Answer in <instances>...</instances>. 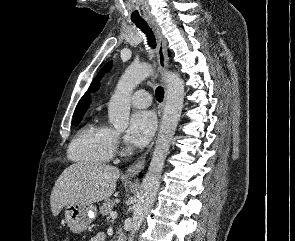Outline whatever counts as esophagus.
I'll return each mask as SVG.
<instances>
[{"mask_svg":"<svg viewBox=\"0 0 295 241\" xmlns=\"http://www.w3.org/2000/svg\"><path fill=\"white\" fill-rule=\"evenodd\" d=\"M148 22L154 31L156 42H157V58H158L159 67L161 71L165 73L166 70L169 68V58L167 54L166 40L163 37L161 30L158 24L155 22V20L149 19ZM166 94H167V91L165 90V98H166ZM164 104H165V99L163 103L160 105L159 117H161L162 115ZM152 146H153V143H151L148 149L134 163H132L127 168V170L125 171L123 175L125 178H133L142 171V169L145 166L148 153L150 149L152 148Z\"/></svg>","mask_w":295,"mask_h":241,"instance_id":"obj_1","label":"esophagus"}]
</instances>
